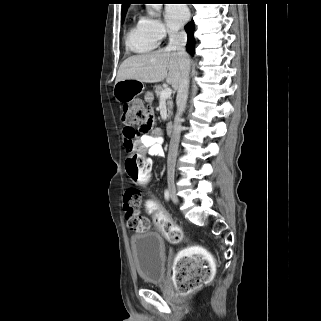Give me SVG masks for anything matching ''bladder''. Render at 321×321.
Listing matches in <instances>:
<instances>
[{
    "label": "bladder",
    "instance_id": "31cf9c89",
    "mask_svg": "<svg viewBox=\"0 0 321 321\" xmlns=\"http://www.w3.org/2000/svg\"><path fill=\"white\" fill-rule=\"evenodd\" d=\"M130 248L138 275L146 283H162L165 276V244L156 232H142L130 238Z\"/></svg>",
    "mask_w": 321,
    "mask_h": 321
}]
</instances>
